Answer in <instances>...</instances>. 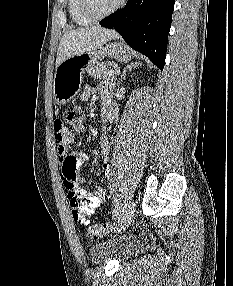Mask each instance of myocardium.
<instances>
[{
  "label": "myocardium",
  "mask_w": 233,
  "mask_h": 286,
  "mask_svg": "<svg viewBox=\"0 0 233 286\" xmlns=\"http://www.w3.org/2000/svg\"><path fill=\"white\" fill-rule=\"evenodd\" d=\"M125 0H118L117 3L109 10L102 13H95L91 6L90 0H80V7L82 13L91 21H98L104 19L115 13L123 4Z\"/></svg>",
  "instance_id": "myocardium-1"
}]
</instances>
